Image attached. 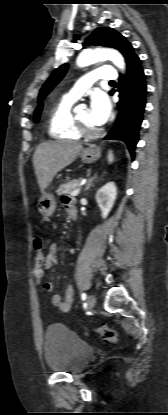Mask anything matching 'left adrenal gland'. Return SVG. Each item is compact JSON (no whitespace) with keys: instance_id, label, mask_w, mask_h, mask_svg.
<instances>
[{"instance_id":"a2214340","label":"left adrenal gland","mask_w":168,"mask_h":415,"mask_svg":"<svg viewBox=\"0 0 168 415\" xmlns=\"http://www.w3.org/2000/svg\"><path fill=\"white\" fill-rule=\"evenodd\" d=\"M88 180L85 186V191L89 190L91 186H93V182L95 181V179H97V174H95L93 177H90V170L88 171Z\"/></svg>"}]
</instances>
